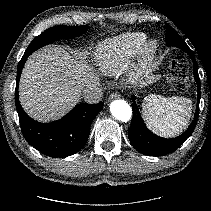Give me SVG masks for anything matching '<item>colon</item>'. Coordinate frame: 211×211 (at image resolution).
<instances>
[{
  "instance_id": "obj_1",
  "label": "colon",
  "mask_w": 211,
  "mask_h": 211,
  "mask_svg": "<svg viewBox=\"0 0 211 211\" xmlns=\"http://www.w3.org/2000/svg\"><path fill=\"white\" fill-rule=\"evenodd\" d=\"M168 80L178 91L186 92L189 89L188 67L183 57L172 60L168 69Z\"/></svg>"
}]
</instances>
